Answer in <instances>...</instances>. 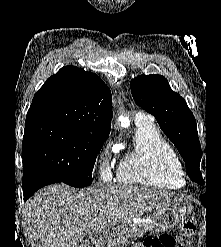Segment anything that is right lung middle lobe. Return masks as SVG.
<instances>
[{
  "label": "right lung middle lobe",
  "mask_w": 221,
  "mask_h": 247,
  "mask_svg": "<svg viewBox=\"0 0 221 247\" xmlns=\"http://www.w3.org/2000/svg\"><path fill=\"white\" fill-rule=\"evenodd\" d=\"M108 137L70 127L25 129L23 162L34 163L73 187L92 183L97 154Z\"/></svg>",
  "instance_id": "obj_1"
}]
</instances>
